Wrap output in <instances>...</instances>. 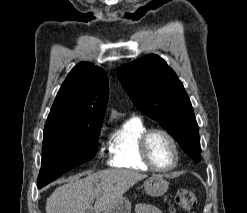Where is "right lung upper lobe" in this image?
I'll use <instances>...</instances> for the list:
<instances>
[{
	"instance_id": "right-lung-upper-lobe-1",
	"label": "right lung upper lobe",
	"mask_w": 247,
	"mask_h": 213,
	"mask_svg": "<svg viewBox=\"0 0 247 213\" xmlns=\"http://www.w3.org/2000/svg\"><path fill=\"white\" fill-rule=\"evenodd\" d=\"M108 98V78L98 66L77 64L65 79L45 126H101Z\"/></svg>"
}]
</instances>
